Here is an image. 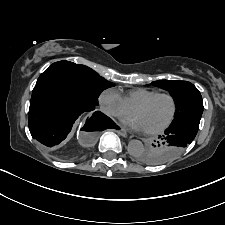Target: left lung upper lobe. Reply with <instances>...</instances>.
I'll return each instance as SVG.
<instances>
[{
	"instance_id": "left-lung-upper-lobe-1",
	"label": "left lung upper lobe",
	"mask_w": 225,
	"mask_h": 225,
	"mask_svg": "<svg viewBox=\"0 0 225 225\" xmlns=\"http://www.w3.org/2000/svg\"><path fill=\"white\" fill-rule=\"evenodd\" d=\"M152 84L169 91L173 97L176 106L173 122L192 114L203 113L201 94L192 83L187 81L159 80L152 82ZM159 137L158 141H154L155 143L152 146H149L137 156L140 162L156 165L153 159L154 156L172 149L169 145L172 143L171 140L161 138L162 136Z\"/></svg>"
}]
</instances>
